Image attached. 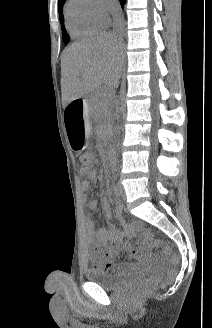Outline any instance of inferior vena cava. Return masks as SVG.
<instances>
[{"label":"inferior vena cava","instance_id":"602c4592","mask_svg":"<svg viewBox=\"0 0 212 328\" xmlns=\"http://www.w3.org/2000/svg\"><path fill=\"white\" fill-rule=\"evenodd\" d=\"M111 14L113 16V27L114 31L113 34L115 36L121 35V27L123 25V16L121 13V9L118 4H112L111 6Z\"/></svg>","mask_w":212,"mask_h":328}]
</instances>
